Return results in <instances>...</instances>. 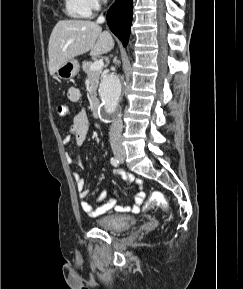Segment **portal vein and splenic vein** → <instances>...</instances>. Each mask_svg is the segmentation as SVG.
<instances>
[{
	"label": "portal vein and splenic vein",
	"mask_w": 243,
	"mask_h": 289,
	"mask_svg": "<svg viewBox=\"0 0 243 289\" xmlns=\"http://www.w3.org/2000/svg\"><path fill=\"white\" fill-rule=\"evenodd\" d=\"M104 66V62L103 60H96L94 61L91 66H90V70L91 71H95V70H101Z\"/></svg>",
	"instance_id": "18ae733b"
}]
</instances>
